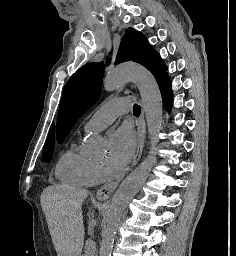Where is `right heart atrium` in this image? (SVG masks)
Masks as SVG:
<instances>
[{"label":"right heart atrium","instance_id":"right-heart-atrium-1","mask_svg":"<svg viewBox=\"0 0 236 256\" xmlns=\"http://www.w3.org/2000/svg\"><path fill=\"white\" fill-rule=\"evenodd\" d=\"M106 179H107V172L103 168V166L97 163H93L90 174H89L88 185L96 186L103 183Z\"/></svg>","mask_w":236,"mask_h":256}]
</instances>
